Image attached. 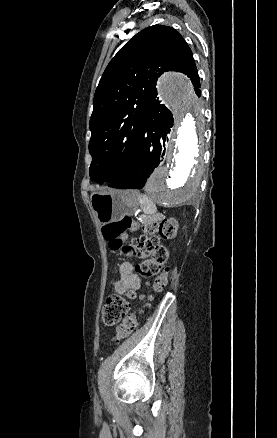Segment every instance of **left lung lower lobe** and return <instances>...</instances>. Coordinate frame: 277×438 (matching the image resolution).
Segmentation results:
<instances>
[{"mask_svg": "<svg viewBox=\"0 0 277 438\" xmlns=\"http://www.w3.org/2000/svg\"><path fill=\"white\" fill-rule=\"evenodd\" d=\"M172 126L169 109L156 98L151 99L144 111L134 154L123 174L109 187L142 188L165 155V141Z\"/></svg>", "mask_w": 277, "mask_h": 438, "instance_id": "1", "label": "left lung lower lobe"}]
</instances>
